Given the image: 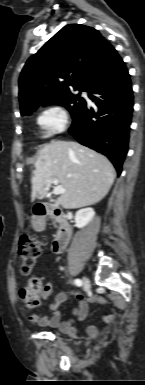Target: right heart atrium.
Segmentation results:
<instances>
[{
    "mask_svg": "<svg viewBox=\"0 0 145 385\" xmlns=\"http://www.w3.org/2000/svg\"><path fill=\"white\" fill-rule=\"evenodd\" d=\"M36 122L41 129L42 135L49 138L66 129L68 113L62 105L52 104L39 113Z\"/></svg>",
    "mask_w": 145,
    "mask_h": 385,
    "instance_id": "right-heart-atrium-1",
    "label": "right heart atrium"
}]
</instances>
